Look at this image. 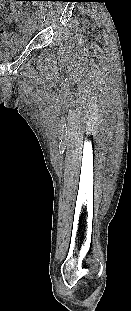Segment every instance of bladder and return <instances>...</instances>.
I'll return each instance as SVG.
<instances>
[{
	"instance_id": "31cf9c89",
	"label": "bladder",
	"mask_w": 131,
	"mask_h": 311,
	"mask_svg": "<svg viewBox=\"0 0 131 311\" xmlns=\"http://www.w3.org/2000/svg\"><path fill=\"white\" fill-rule=\"evenodd\" d=\"M27 44L28 41L18 35L0 38V61L9 60L19 54Z\"/></svg>"
}]
</instances>
